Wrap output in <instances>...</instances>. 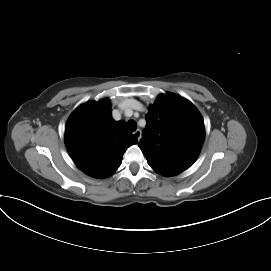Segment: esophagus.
<instances>
[{"mask_svg": "<svg viewBox=\"0 0 271 271\" xmlns=\"http://www.w3.org/2000/svg\"><path fill=\"white\" fill-rule=\"evenodd\" d=\"M134 135L135 137L138 139V141L140 140L141 138V130L140 129H137L135 132H134Z\"/></svg>", "mask_w": 271, "mask_h": 271, "instance_id": "1", "label": "esophagus"}]
</instances>
